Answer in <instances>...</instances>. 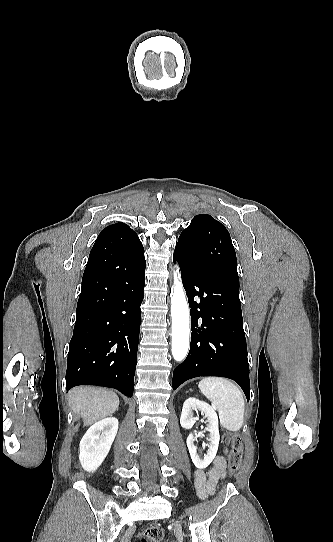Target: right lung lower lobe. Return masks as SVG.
I'll list each match as a JSON object with an SVG mask.
<instances>
[{
  "label": "right lung lower lobe",
  "instance_id": "right-lung-lower-lobe-1",
  "mask_svg": "<svg viewBox=\"0 0 333 542\" xmlns=\"http://www.w3.org/2000/svg\"><path fill=\"white\" fill-rule=\"evenodd\" d=\"M145 266L140 240L90 253L69 344L67 390L98 385L133 395Z\"/></svg>",
  "mask_w": 333,
  "mask_h": 542
}]
</instances>
